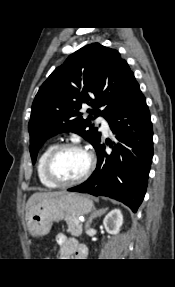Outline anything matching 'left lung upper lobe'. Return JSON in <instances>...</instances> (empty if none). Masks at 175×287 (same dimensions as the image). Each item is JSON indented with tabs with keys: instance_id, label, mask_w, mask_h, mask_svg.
Masks as SVG:
<instances>
[{
	"instance_id": "1",
	"label": "left lung upper lobe",
	"mask_w": 175,
	"mask_h": 287,
	"mask_svg": "<svg viewBox=\"0 0 175 287\" xmlns=\"http://www.w3.org/2000/svg\"><path fill=\"white\" fill-rule=\"evenodd\" d=\"M137 84L115 49L92 43L71 54L35 96L28 125L33 163L43 143L61 132L77 133L96 148L101 133L91 119L103 116L109 121L129 101ZM82 104L91 107L87 119L81 116Z\"/></svg>"
}]
</instances>
